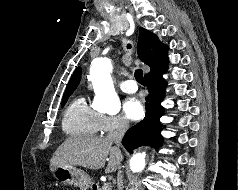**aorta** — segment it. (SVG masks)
I'll return each instance as SVG.
<instances>
[{"instance_id": "obj_1", "label": "aorta", "mask_w": 238, "mask_h": 190, "mask_svg": "<svg viewBox=\"0 0 238 190\" xmlns=\"http://www.w3.org/2000/svg\"><path fill=\"white\" fill-rule=\"evenodd\" d=\"M112 64L108 58H98L92 62L90 76L96 94V108L109 114H116L121 109L111 78ZM145 154L137 153L131 159L133 171H141L145 166Z\"/></svg>"}]
</instances>
